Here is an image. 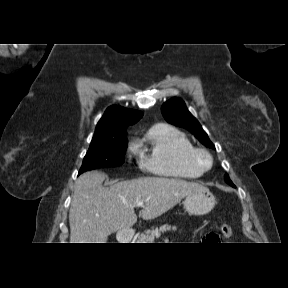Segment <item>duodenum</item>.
Masks as SVG:
<instances>
[{
    "label": "duodenum",
    "instance_id": "1",
    "mask_svg": "<svg viewBox=\"0 0 288 288\" xmlns=\"http://www.w3.org/2000/svg\"><path fill=\"white\" fill-rule=\"evenodd\" d=\"M132 238H133V235L127 231H121L119 233V240L121 242H129L132 240Z\"/></svg>",
    "mask_w": 288,
    "mask_h": 288
}]
</instances>
